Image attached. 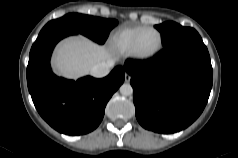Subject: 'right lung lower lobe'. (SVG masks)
Listing matches in <instances>:
<instances>
[{
    "label": "right lung lower lobe",
    "instance_id": "right-lung-lower-lobe-1",
    "mask_svg": "<svg viewBox=\"0 0 238 158\" xmlns=\"http://www.w3.org/2000/svg\"><path fill=\"white\" fill-rule=\"evenodd\" d=\"M73 34L77 33L50 29L38 35L29 55L27 85L37 111L51 127L67 135H81L100 124L106 104L125 74L117 66L102 79L87 76L73 81L54 75L50 67L53 48Z\"/></svg>",
    "mask_w": 238,
    "mask_h": 158
}]
</instances>
